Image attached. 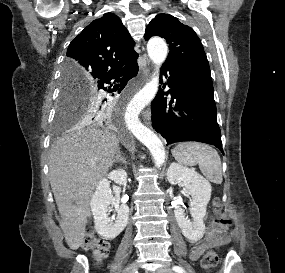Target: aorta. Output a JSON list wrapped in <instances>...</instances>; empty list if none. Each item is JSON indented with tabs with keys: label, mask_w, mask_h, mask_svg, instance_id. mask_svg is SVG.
<instances>
[{
	"label": "aorta",
	"mask_w": 285,
	"mask_h": 273,
	"mask_svg": "<svg viewBox=\"0 0 285 273\" xmlns=\"http://www.w3.org/2000/svg\"><path fill=\"white\" fill-rule=\"evenodd\" d=\"M147 51L150 59L156 65V72L151 80L132 98L126 110L125 120L133 135L150 150L155 165L160 167L165 162L164 145L153 131L139 121L138 115L158 91V68L167 57L168 47L163 39L154 37L148 41Z\"/></svg>",
	"instance_id": "obj_1"
}]
</instances>
